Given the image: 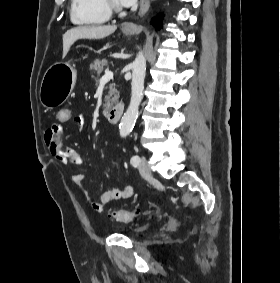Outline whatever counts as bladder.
I'll list each match as a JSON object with an SVG mask.
<instances>
[{
	"label": "bladder",
	"instance_id": "bladder-1",
	"mask_svg": "<svg viewBox=\"0 0 280 283\" xmlns=\"http://www.w3.org/2000/svg\"><path fill=\"white\" fill-rule=\"evenodd\" d=\"M150 225H141V226H136V227H120L118 228L119 233L125 234L128 236H133L137 237L143 232L147 231L149 229Z\"/></svg>",
	"mask_w": 280,
	"mask_h": 283
}]
</instances>
